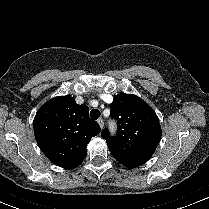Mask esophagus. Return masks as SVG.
Returning a JSON list of instances; mask_svg holds the SVG:
<instances>
[{
    "instance_id": "obj_1",
    "label": "esophagus",
    "mask_w": 209,
    "mask_h": 209,
    "mask_svg": "<svg viewBox=\"0 0 209 209\" xmlns=\"http://www.w3.org/2000/svg\"><path fill=\"white\" fill-rule=\"evenodd\" d=\"M98 124H99L100 128L103 129V127H104V121H103V119H99L98 120Z\"/></svg>"
}]
</instances>
